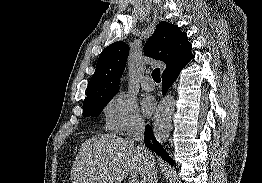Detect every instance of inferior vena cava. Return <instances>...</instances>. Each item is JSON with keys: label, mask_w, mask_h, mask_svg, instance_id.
Wrapping results in <instances>:
<instances>
[{"label": "inferior vena cava", "mask_w": 262, "mask_h": 183, "mask_svg": "<svg viewBox=\"0 0 262 183\" xmlns=\"http://www.w3.org/2000/svg\"><path fill=\"white\" fill-rule=\"evenodd\" d=\"M144 129V120L137 118L134 120L129 133V138L131 140L140 142V145L138 146V152L142 158L140 183H158L155 159L143 144Z\"/></svg>", "instance_id": "602c4592"}]
</instances>
